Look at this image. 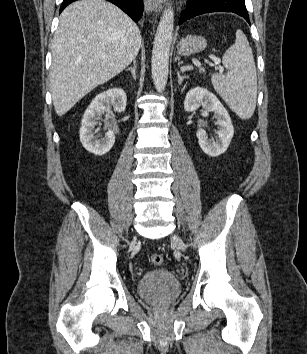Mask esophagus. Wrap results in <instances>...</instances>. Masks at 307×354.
<instances>
[{
    "label": "esophagus",
    "mask_w": 307,
    "mask_h": 354,
    "mask_svg": "<svg viewBox=\"0 0 307 354\" xmlns=\"http://www.w3.org/2000/svg\"><path fill=\"white\" fill-rule=\"evenodd\" d=\"M144 6H145V10L148 13H152V12L159 13L163 9L162 4L157 0H144Z\"/></svg>",
    "instance_id": "34e87169"
}]
</instances>
